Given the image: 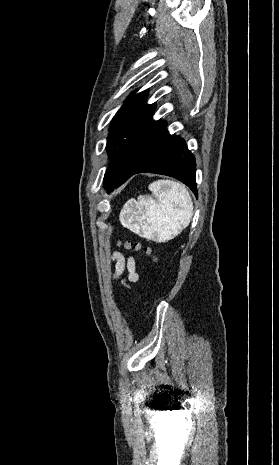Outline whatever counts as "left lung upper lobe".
Instances as JSON below:
<instances>
[{"label":"left lung upper lobe","instance_id":"obj_1","mask_svg":"<svg viewBox=\"0 0 279 465\" xmlns=\"http://www.w3.org/2000/svg\"><path fill=\"white\" fill-rule=\"evenodd\" d=\"M147 91L130 97L116 113L110 127L107 150L111 163L104 188L112 191L168 138L166 122L152 120L155 105L146 104Z\"/></svg>","mask_w":279,"mask_h":465}]
</instances>
